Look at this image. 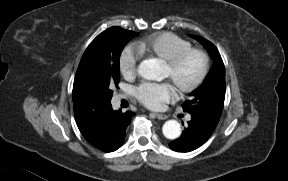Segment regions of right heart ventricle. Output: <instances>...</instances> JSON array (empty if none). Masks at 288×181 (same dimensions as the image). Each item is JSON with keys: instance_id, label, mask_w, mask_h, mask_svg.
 I'll return each mask as SVG.
<instances>
[{"instance_id": "obj_1", "label": "right heart ventricle", "mask_w": 288, "mask_h": 181, "mask_svg": "<svg viewBox=\"0 0 288 181\" xmlns=\"http://www.w3.org/2000/svg\"><path fill=\"white\" fill-rule=\"evenodd\" d=\"M190 47L192 44L188 40L171 32L157 33L138 43L141 54L154 56L163 61Z\"/></svg>"}]
</instances>
